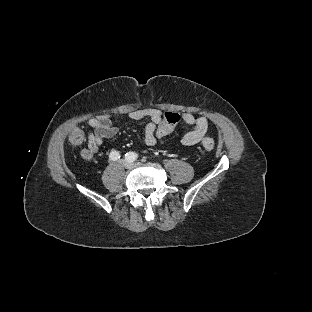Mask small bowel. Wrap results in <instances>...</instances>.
I'll return each instance as SVG.
<instances>
[{"mask_svg":"<svg viewBox=\"0 0 312 312\" xmlns=\"http://www.w3.org/2000/svg\"><path fill=\"white\" fill-rule=\"evenodd\" d=\"M181 114L184 118L183 122L192 126V130L184 134L181 139L183 145L193 146L207 137L209 128L207 117L195 116L189 111H184ZM164 115L165 113L160 109L146 108L129 111L127 118L130 120L147 118L149 120L144 129V142L147 146H154L157 140L151 136L150 129L155 122H163ZM87 125L91 130L88 135V144L80 152V156L84 161L92 160L102 142L105 139L114 137L118 132L117 127L113 125L107 115L93 117L87 121Z\"/></svg>","mask_w":312,"mask_h":312,"instance_id":"c3829d8e","label":"small bowel"}]
</instances>
